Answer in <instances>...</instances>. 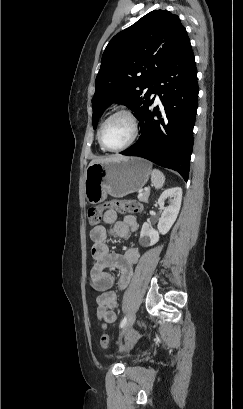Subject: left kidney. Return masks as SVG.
<instances>
[{
	"instance_id": "5707ae66",
	"label": "left kidney",
	"mask_w": 243,
	"mask_h": 409,
	"mask_svg": "<svg viewBox=\"0 0 243 409\" xmlns=\"http://www.w3.org/2000/svg\"><path fill=\"white\" fill-rule=\"evenodd\" d=\"M166 199L170 200V205L164 207ZM182 200V189L180 187H174L165 190L158 199L159 206L163 209L161 218L158 222V231L153 230L150 224L144 223L140 233L139 242L142 246H152L159 241V234H166L173 223L175 222Z\"/></svg>"
}]
</instances>
